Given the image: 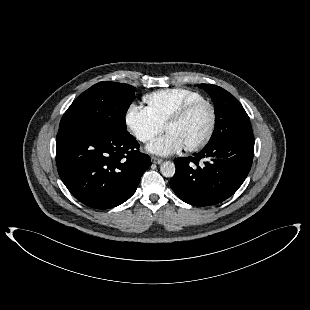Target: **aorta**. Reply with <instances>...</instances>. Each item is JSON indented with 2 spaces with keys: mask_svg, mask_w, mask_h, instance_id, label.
Masks as SVG:
<instances>
[{
  "mask_svg": "<svg viewBox=\"0 0 310 310\" xmlns=\"http://www.w3.org/2000/svg\"><path fill=\"white\" fill-rule=\"evenodd\" d=\"M175 170V164L171 161H166L160 166V172L164 177H173Z\"/></svg>",
  "mask_w": 310,
  "mask_h": 310,
  "instance_id": "aorta-1",
  "label": "aorta"
}]
</instances>
